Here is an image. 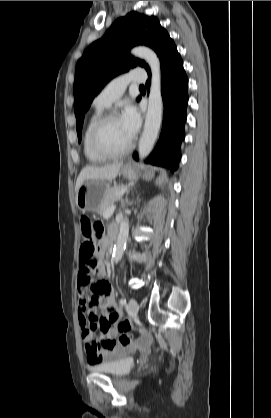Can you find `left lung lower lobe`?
<instances>
[{
	"label": "left lung lower lobe",
	"mask_w": 271,
	"mask_h": 418,
	"mask_svg": "<svg viewBox=\"0 0 271 418\" xmlns=\"http://www.w3.org/2000/svg\"><path fill=\"white\" fill-rule=\"evenodd\" d=\"M161 62V93L164 103L162 132L155 150L145 163L168 168H178L181 159L180 146L185 137L186 108L188 104V78L183 61L171 38L165 42L159 56ZM150 86V69L147 70ZM140 100V99H139ZM137 159V153L134 154Z\"/></svg>",
	"instance_id": "left-lung-lower-lobe-1"
}]
</instances>
